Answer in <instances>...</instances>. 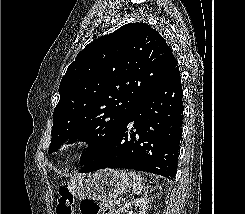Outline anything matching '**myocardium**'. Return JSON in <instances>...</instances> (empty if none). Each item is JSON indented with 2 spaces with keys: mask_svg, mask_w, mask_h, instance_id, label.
Here are the masks:
<instances>
[{
  "mask_svg": "<svg viewBox=\"0 0 245 214\" xmlns=\"http://www.w3.org/2000/svg\"><path fill=\"white\" fill-rule=\"evenodd\" d=\"M91 145L90 140L84 136H76L69 139L62 147V152L66 155H73L84 151Z\"/></svg>",
  "mask_w": 245,
  "mask_h": 214,
  "instance_id": "f54148a6",
  "label": "myocardium"
}]
</instances>
